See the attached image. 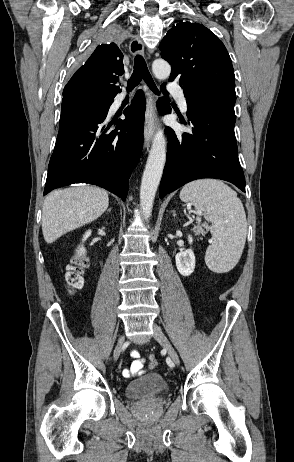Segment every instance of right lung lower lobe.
<instances>
[{
    "label": "right lung lower lobe",
    "mask_w": 294,
    "mask_h": 462,
    "mask_svg": "<svg viewBox=\"0 0 294 462\" xmlns=\"http://www.w3.org/2000/svg\"><path fill=\"white\" fill-rule=\"evenodd\" d=\"M113 101L114 98L104 107L60 118L44 195L62 186L90 183L126 199L128 181L143 146L146 100L138 91L124 110L126 119L119 120L116 130L108 132L112 124H107L106 119Z\"/></svg>",
    "instance_id": "1"
}]
</instances>
